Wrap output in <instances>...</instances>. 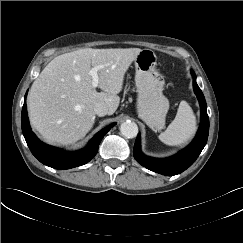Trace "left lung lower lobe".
<instances>
[{"mask_svg": "<svg viewBox=\"0 0 243 243\" xmlns=\"http://www.w3.org/2000/svg\"><path fill=\"white\" fill-rule=\"evenodd\" d=\"M192 75L194 78V92L199 100L201 110V124L193 142L186 149L182 150L177 155L165 159H156L144 155L141 151L140 135H138L136 139L133 151L134 158L142 166L156 173H160L167 176H173L183 172L195 162V160L203 150L204 146L206 145L209 133L207 105L204 95L195 81L196 76L193 71Z\"/></svg>", "mask_w": 243, "mask_h": 243, "instance_id": "1", "label": "left lung lower lobe"}]
</instances>
